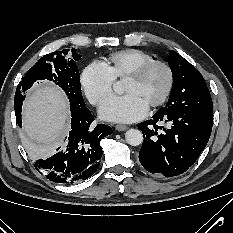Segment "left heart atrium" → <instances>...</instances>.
Here are the masks:
<instances>
[{
	"instance_id": "1",
	"label": "left heart atrium",
	"mask_w": 233,
	"mask_h": 233,
	"mask_svg": "<svg viewBox=\"0 0 233 233\" xmlns=\"http://www.w3.org/2000/svg\"><path fill=\"white\" fill-rule=\"evenodd\" d=\"M147 111L148 106L130 93L109 97L101 104L99 109L100 116L103 119L115 122L139 120L146 115Z\"/></svg>"
}]
</instances>
